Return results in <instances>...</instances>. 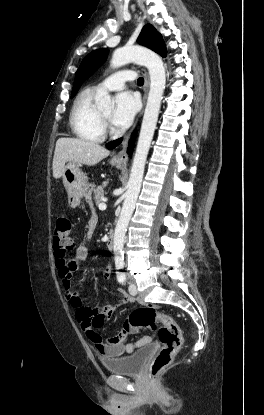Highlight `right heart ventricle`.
I'll list each match as a JSON object with an SVG mask.
<instances>
[{"label": "right heart ventricle", "mask_w": 264, "mask_h": 415, "mask_svg": "<svg viewBox=\"0 0 264 415\" xmlns=\"http://www.w3.org/2000/svg\"><path fill=\"white\" fill-rule=\"evenodd\" d=\"M96 94V91L84 90L76 97L70 112L69 123L77 138L98 143L102 142L105 136L98 110L94 104Z\"/></svg>", "instance_id": "obj_1"}]
</instances>
